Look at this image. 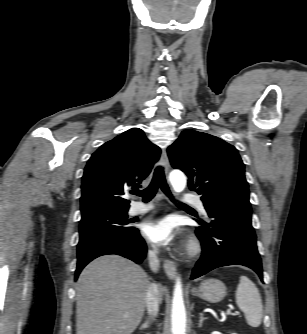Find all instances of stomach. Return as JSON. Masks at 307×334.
<instances>
[{"label":"stomach","mask_w":307,"mask_h":334,"mask_svg":"<svg viewBox=\"0 0 307 334\" xmlns=\"http://www.w3.org/2000/svg\"><path fill=\"white\" fill-rule=\"evenodd\" d=\"M226 291L225 284L214 278L205 279L198 288L193 289V293L211 303L221 301L225 297Z\"/></svg>","instance_id":"1"}]
</instances>
